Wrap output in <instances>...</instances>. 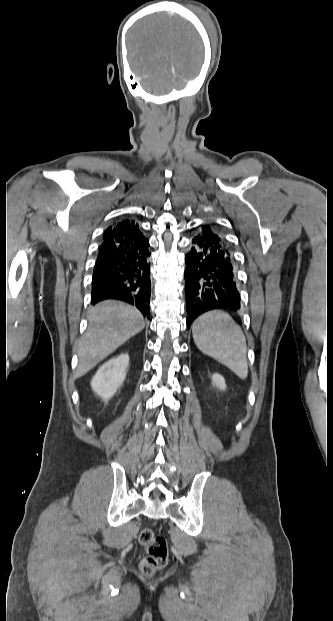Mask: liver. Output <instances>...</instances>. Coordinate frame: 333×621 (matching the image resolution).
Masks as SVG:
<instances>
[{
  "label": "liver",
  "mask_w": 333,
  "mask_h": 621,
  "mask_svg": "<svg viewBox=\"0 0 333 621\" xmlns=\"http://www.w3.org/2000/svg\"><path fill=\"white\" fill-rule=\"evenodd\" d=\"M88 320V329L77 348V377L89 372L145 327L144 318L138 309L113 300L94 306Z\"/></svg>",
  "instance_id": "1"
}]
</instances>
